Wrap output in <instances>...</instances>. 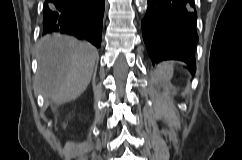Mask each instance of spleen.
Listing matches in <instances>:
<instances>
[{
  "label": "spleen",
  "instance_id": "spleen-1",
  "mask_svg": "<svg viewBox=\"0 0 242 160\" xmlns=\"http://www.w3.org/2000/svg\"><path fill=\"white\" fill-rule=\"evenodd\" d=\"M173 76V66L170 63H162L156 70L158 80L168 83ZM168 86L166 87V95H168Z\"/></svg>",
  "mask_w": 242,
  "mask_h": 160
}]
</instances>
